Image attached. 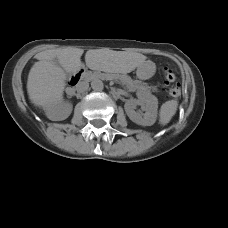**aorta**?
<instances>
[{
	"label": "aorta",
	"instance_id": "1",
	"mask_svg": "<svg viewBox=\"0 0 228 228\" xmlns=\"http://www.w3.org/2000/svg\"><path fill=\"white\" fill-rule=\"evenodd\" d=\"M92 89L95 92H102L104 90V84L101 81H96L92 83Z\"/></svg>",
	"mask_w": 228,
	"mask_h": 228
}]
</instances>
